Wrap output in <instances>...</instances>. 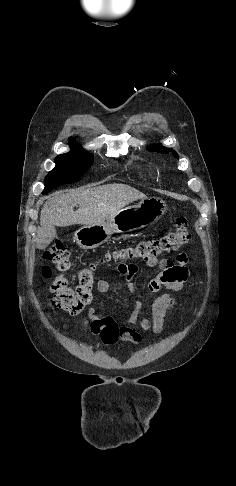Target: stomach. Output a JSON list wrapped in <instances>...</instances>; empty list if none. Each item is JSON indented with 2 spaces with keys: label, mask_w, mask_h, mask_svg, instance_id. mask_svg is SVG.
Here are the masks:
<instances>
[{
  "label": "stomach",
  "mask_w": 236,
  "mask_h": 486,
  "mask_svg": "<svg viewBox=\"0 0 236 486\" xmlns=\"http://www.w3.org/2000/svg\"><path fill=\"white\" fill-rule=\"evenodd\" d=\"M166 212L165 202L158 197L141 199L122 208L103 223L84 225L74 239L82 249H94L108 241L113 233L130 232L156 223Z\"/></svg>",
  "instance_id": "0dacf381"
}]
</instances>
